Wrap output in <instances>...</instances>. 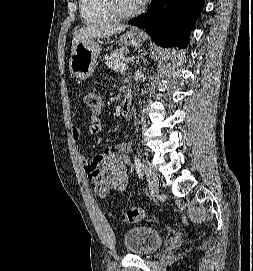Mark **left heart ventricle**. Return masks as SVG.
<instances>
[{
	"label": "left heart ventricle",
	"mask_w": 253,
	"mask_h": 271,
	"mask_svg": "<svg viewBox=\"0 0 253 271\" xmlns=\"http://www.w3.org/2000/svg\"><path fill=\"white\" fill-rule=\"evenodd\" d=\"M122 1L124 7L127 9H133L140 5L137 0H122Z\"/></svg>",
	"instance_id": "left-heart-ventricle-1"
}]
</instances>
